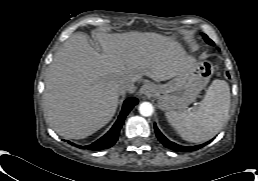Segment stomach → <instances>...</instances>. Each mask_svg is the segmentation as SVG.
Masks as SVG:
<instances>
[{"label":"stomach","instance_id":"obj_1","mask_svg":"<svg viewBox=\"0 0 258 181\" xmlns=\"http://www.w3.org/2000/svg\"><path fill=\"white\" fill-rule=\"evenodd\" d=\"M213 74L209 61L196 63L185 74L176 76L166 84L153 85L152 96L163 111L182 109L195 101Z\"/></svg>","mask_w":258,"mask_h":181}]
</instances>
